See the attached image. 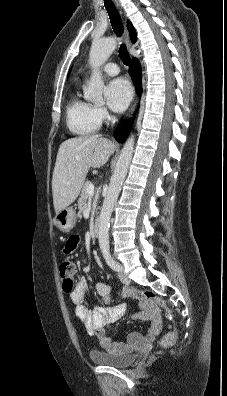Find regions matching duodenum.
Returning a JSON list of instances; mask_svg holds the SVG:
<instances>
[{"instance_id": "duodenum-1", "label": "duodenum", "mask_w": 227, "mask_h": 396, "mask_svg": "<svg viewBox=\"0 0 227 396\" xmlns=\"http://www.w3.org/2000/svg\"><path fill=\"white\" fill-rule=\"evenodd\" d=\"M93 233L95 236H98L100 233V222L97 220L93 225Z\"/></svg>"}]
</instances>
